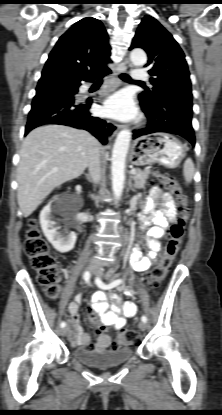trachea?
<instances>
[{"label": "trachea", "mask_w": 222, "mask_h": 415, "mask_svg": "<svg viewBox=\"0 0 222 415\" xmlns=\"http://www.w3.org/2000/svg\"><path fill=\"white\" fill-rule=\"evenodd\" d=\"M119 77L122 80L127 81V82H135V83H139V84H144L143 82H137V81L132 80L131 77L127 74H121ZM99 81H101V80H99Z\"/></svg>", "instance_id": "obj_1"}]
</instances>
